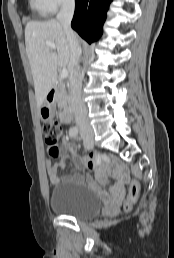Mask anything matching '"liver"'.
<instances>
[{"mask_svg":"<svg viewBox=\"0 0 174 258\" xmlns=\"http://www.w3.org/2000/svg\"><path fill=\"white\" fill-rule=\"evenodd\" d=\"M46 41L54 43L57 52L48 47ZM25 44L37 107L40 108L57 81V68L69 67V43L60 23L51 19L46 22H28L25 27Z\"/></svg>","mask_w":174,"mask_h":258,"instance_id":"1","label":"liver"}]
</instances>
